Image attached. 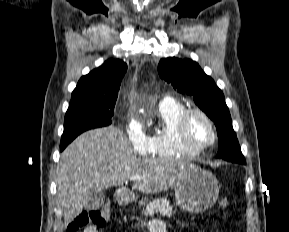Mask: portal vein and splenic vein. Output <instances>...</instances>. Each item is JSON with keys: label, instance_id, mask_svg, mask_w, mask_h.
<instances>
[{"label": "portal vein and splenic vein", "instance_id": "1", "mask_svg": "<svg viewBox=\"0 0 289 232\" xmlns=\"http://www.w3.org/2000/svg\"><path fill=\"white\" fill-rule=\"evenodd\" d=\"M129 179H130V181H137V180L141 179V177L138 175H134V176H131Z\"/></svg>", "mask_w": 289, "mask_h": 232}]
</instances>
